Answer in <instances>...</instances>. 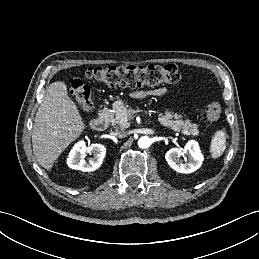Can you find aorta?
Masks as SVG:
<instances>
[{"label":"aorta","instance_id":"obj_1","mask_svg":"<svg viewBox=\"0 0 259 259\" xmlns=\"http://www.w3.org/2000/svg\"><path fill=\"white\" fill-rule=\"evenodd\" d=\"M151 144V140L148 136H143L138 140V146L142 149L148 148Z\"/></svg>","mask_w":259,"mask_h":259}]
</instances>
